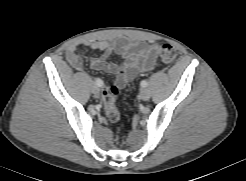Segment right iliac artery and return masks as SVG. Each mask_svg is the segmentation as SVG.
<instances>
[{
    "mask_svg": "<svg viewBox=\"0 0 246 181\" xmlns=\"http://www.w3.org/2000/svg\"><path fill=\"white\" fill-rule=\"evenodd\" d=\"M96 85H97L98 87H102V86H103V81H102L101 79L97 78V79H96Z\"/></svg>",
    "mask_w": 246,
    "mask_h": 181,
    "instance_id": "82829eb1",
    "label": "right iliac artery"
}]
</instances>
